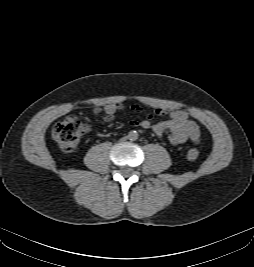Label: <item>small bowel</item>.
Listing matches in <instances>:
<instances>
[{
  "label": "small bowel",
  "instance_id": "small-bowel-1",
  "mask_svg": "<svg viewBox=\"0 0 254 267\" xmlns=\"http://www.w3.org/2000/svg\"><path fill=\"white\" fill-rule=\"evenodd\" d=\"M123 109L121 103H107L96 105L93 112L104 113L105 119L110 121L113 115ZM132 110L140 112L142 108L139 105H133ZM167 110L164 108H156L153 113H149L141 121L133 120L131 122L134 126H140L144 129H152L153 132L162 136L164 133L169 134V141L173 145H180L190 140L194 143L200 140V129L198 124L191 119L189 114L183 110H172L169 112V118L156 123L152 122L154 115H164Z\"/></svg>",
  "mask_w": 254,
  "mask_h": 267
}]
</instances>
